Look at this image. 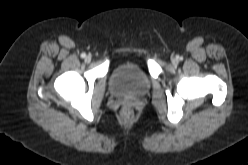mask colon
Wrapping results in <instances>:
<instances>
[{
  "label": "colon",
  "mask_w": 248,
  "mask_h": 165,
  "mask_svg": "<svg viewBox=\"0 0 248 165\" xmlns=\"http://www.w3.org/2000/svg\"><path fill=\"white\" fill-rule=\"evenodd\" d=\"M122 113L126 119H131L133 117V112L130 108H125Z\"/></svg>",
  "instance_id": "obj_1"
}]
</instances>
